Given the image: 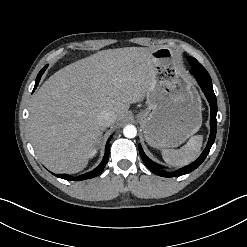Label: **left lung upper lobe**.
<instances>
[{
  "mask_svg": "<svg viewBox=\"0 0 247 247\" xmlns=\"http://www.w3.org/2000/svg\"><path fill=\"white\" fill-rule=\"evenodd\" d=\"M190 66L194 65L198 72L205 77H210L206 69L193 57H187Z\"/></svg>",
  "mask_w": 247,
  "mask_h": 247,
  "instance_id": "obj_1",
  "label": "left lung upper lobe"
}]
</instances>
